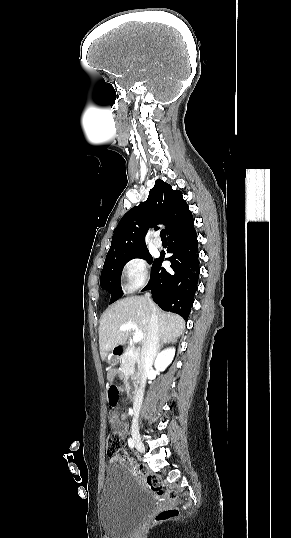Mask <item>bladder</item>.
<instances>
[{
  "label": "bladder",
  "mask_w": 291,
  "mask_h": 538,
  "mask_svg": "<svg viewBox=\"0 0 291 538\" xmlns=\"http://www.w3.org/2000/svg\"><path fill=\"white\" fill-rule=\"evenodd\" d=\"M137 479L120 463L106 467L100 497V525L113 538L130 534L154 509Z\"/></svg>",
  "instance_id": "1"
}]
</instances>
